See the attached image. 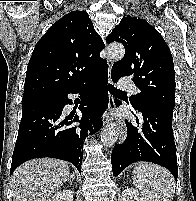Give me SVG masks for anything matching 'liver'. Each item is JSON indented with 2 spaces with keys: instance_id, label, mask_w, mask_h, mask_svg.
I'll return each mask as SVG.
<instances>
[{
  "instance_id": "1",
  "label": "liver",
  "mask_w": 196,
  "mask_h": 201,
  "mask_svg": "<svg viewBox=\"0 0 196 201\" xmlns=\"http://www.w3.org/2000/svg\"><path fill=\"white\" fill-rule=\"evenodd\" d=\"M70 176L68 164L61 160H29L20 165L12 175L13 201H47Z\"/></svg>"
}]
</instances>
